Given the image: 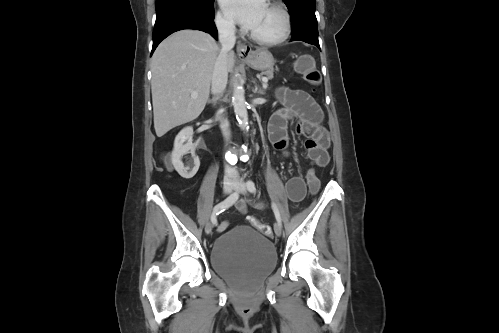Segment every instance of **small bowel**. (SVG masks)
Segmentation results:
<instances>
[{
  "mask_svg": "<svg viewBox=\"0 0 499 333\" xmlns=\"http://www.w3.org/2000/svg\"><path fill=\"white\" fill-rule=\"evenodd\" d=\"M277 98L283 108L272 114L268 124V136L273 147L284 154L287 153L288 125L293 119H297L296 133L305 138L304 146L309 159L318 167H325L330 159L328 153L330 137L322 125L323 112L320 106L303 90L282 87L277 90ZM286 191L291 201H301L306 192L304 180L299 176L291 177L286 183ZM248 204L259 209L264 207L262 202L249 199H239L235 206L244 214ZM227 226L228 223L223 222L219 226V231H224Z\"/></svg>",
  "mask_w": 499,
  "mask_h": 333,
  "instance_id": "obj_1",
  "label": "small bowel"
}]
</instances>
